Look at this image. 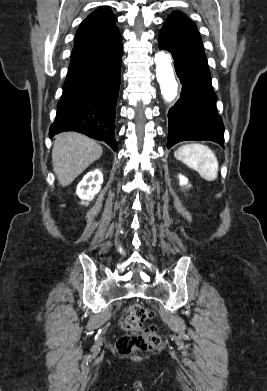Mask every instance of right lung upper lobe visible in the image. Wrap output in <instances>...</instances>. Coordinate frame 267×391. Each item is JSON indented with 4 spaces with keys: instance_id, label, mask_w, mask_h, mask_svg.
Instances as JSON below:
<instances>
[{
    "instance_id": "1",
    "label": "right lung upper lobe",
    "mask_w": 267,
    "mask_h": 391,
    "mask_svg": "<svg viewBox=\"0 0 267 391\" xmlns=\"http://www.w3.org/2000/svg\"><path fill=\"white\" fill-rule=\"evenodd\" d=\"M116 22L117 18L106 6L90 14L77 30L70 63L121 44V35L115 26Z\"/></svg>"
}]
</instances>
